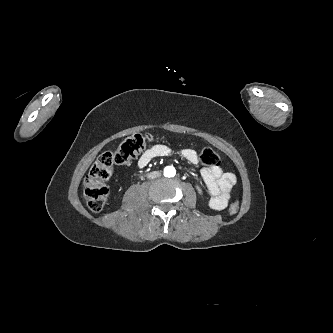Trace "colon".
Instances as JSON below:
<instances>
[{
    "instance_id": "colon-1",
    "label": "colon",
    "mask_w": 333,
    "mask_h": 333,
    "mask_svg": "<svg viewBox=\"0 0 333 333\" xmlns=\"http://www.w3.org/2000/svg\"><path fill=\"white\" fill-rule=\"evenodd\" d=\"M149 134H133L124 139L115 151L104 152L94 163L84 179V197L90 210L101 211L108 200V190L105 182L112 175L117 165H128L137 158L151 143ZM200 161L207 166L218 165L220 158L211 148H203L200 152ZM239 210L237 201L231 203L230 214Z\"/></svg>"
}]
</instances>
